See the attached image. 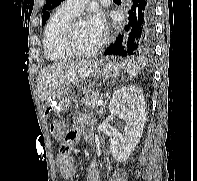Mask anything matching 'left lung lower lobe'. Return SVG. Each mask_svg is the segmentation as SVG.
Wrapping results in <instances>:
<instances>
[{"instance_id": "left-lung-lower-lobe-1", "label": "left lung lower lobe", "mask_w": 197, "mask_h": 181, "mask_svg": "<svg viewBox=\"0 0 197 181\" xmlns=\"http://www.w3.org/2000/svg\"><path fill=\"white\" fill-rule=\"evenodd\" d=\"M154 0H133L130 23L104 52V55L148 57L154 39Z\"/></svg>"}]
</instances>
